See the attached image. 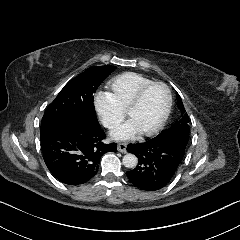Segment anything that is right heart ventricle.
I'll use <instances>...</instances> for the list:
<instances>
[{
	"instance_id": "e07e8e85",
	"label": "right heart ventricle",
	"mask_w": 240,
	"mask_h": 240,
	"mask_svg": "<svg viewBox=\"0 0 240 240\" xmlns=\"http://www.w3.org/2000/svg\"><path fill=\"white\" fill-rule=\"evenodd\" d=\"M152 82L147 77L134 72H126L110 79L105 88L114 104L124 111L133 100L136 92L143 85Z\"/></svg>"
}]
</instances>
